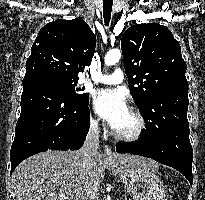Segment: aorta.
<instances>
[{
  "label": "aorta",
  "mask_w": 205,
  "mask_h": 200,
  "mask_svg": "<svg viewBox=\"0 0 205 200\" xmlns=\"http://www.w3.org/2000/svg\"><path fill=\"white\" fill-rule=\"evenodd\" d=\"M121 58V51L119 49H111L105 55V65L112 66L116 64Z\"/></svg>",
  "instance_id": "aorta-1"
}]
</instances>
